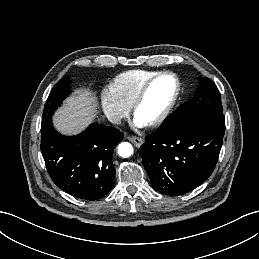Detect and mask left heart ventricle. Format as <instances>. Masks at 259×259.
Wrapping results in <instances>:
<instances>
[{
	"label": "left heart ventricle",
	"instance_id": "left-heart-ventricle-1",
	"mask_svg": "<svg viewBox=\"0 0 259 259\" xmlns=\"http://www.w3.org/2000/svg\"><path fill=\"white\" fill-rule=\"evenodd\" d=\"M175 92V82L171 77L156 80L149 88L136 112V119L148 124L159 117L171 101Z\"/></svg>",
	"mask_w": 259,
	"mask_h": 259
}]
</instances>
